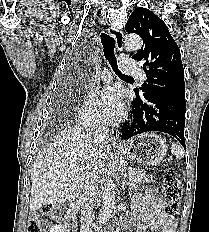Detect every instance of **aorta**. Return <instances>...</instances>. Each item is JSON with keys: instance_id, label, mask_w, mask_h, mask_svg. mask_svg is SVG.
<instances>
[{"instance_id": "obj_1", "label": "aorta", "mask_w": 209, "mask_h": 232, "mask_svg": "<svg viewBox=\"0 0 209 232\" xmlns=\"http://www.w3.org/2000/svg\"><path fill=\"white\" fill-rule=\"evenodd\" d=\"M124 43L126 48L133 51L140 50L143 45V41L138 35H126ZM102 198L103 206L100 210L99 223L105 224L112 216L115 207L116 185L112 180L107 183Z\"/></svg>"}]
</instances>
